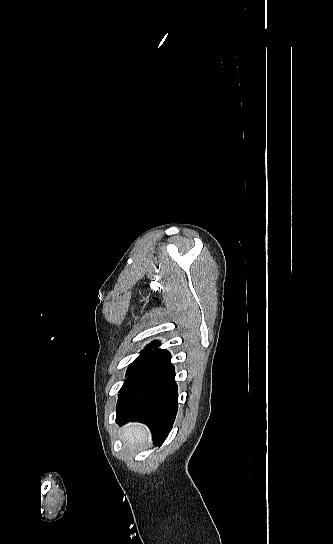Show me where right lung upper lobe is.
Returning <instances> with one entry per match:
<instances>
[{
    "label": "right lung upper lobe",
    "instance_id": "obj_1",
    "mask_svg": "<svg viewBox=\"0 0 333 544\" xmlns=\"http://www.w3.org/2000/svg\"><path fill=\"white\" fill-rule=\"evenodd\" d=\"M159 345H160V342H159V341H153L151 344H148V345L146 346V348H148V349L151 350L152 348H156V347H158Z\"/></svg>",
    "mask_w": 333,
    "mask_h": 544
}]
</instances>
